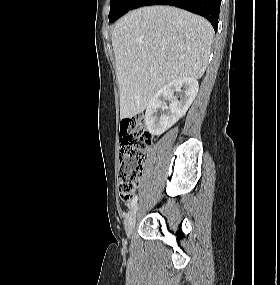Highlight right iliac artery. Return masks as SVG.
I'll use <instances>...</instances> for the list:
<instances>
[{"label": "right iliac artery", "instance_id": "82829eb1", "mask_svg": "<svg viewBox=\"0 0 280 285\" xmlns=\"http://www.w3.org/2000/svg\"><path fill=\"white\" fill-rule=\"evenodd\" d=\"M137 200H138V197H137V195H135L130 202L129 209L133 208L136 205Z\"/></svg>", "mask_w": 280, "mask_h": 285}]
</instances>
